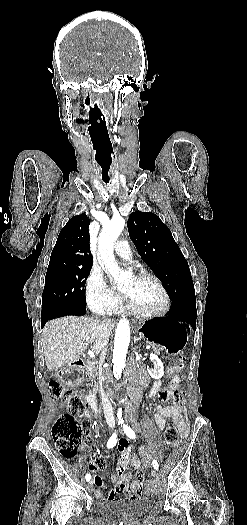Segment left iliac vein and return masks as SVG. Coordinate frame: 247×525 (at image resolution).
<instances>
[{"label": "left iliac vein", "mask_w": 247, "mask_h": 525, "mask_svg": "<svg viewBox=\"0 0 247 525\" xmlns=\"http://www.w3.org/2000/svg\"><path fill=\"white\" fill-rule=\"evenodd\" d=\"M151 474H152V476H153V477H155V476L157 475V472H156V470H155V469H153V470L151 471Z\"/></svg>", "instance_id": "left-iliac-vein-1"}]
</instances>
